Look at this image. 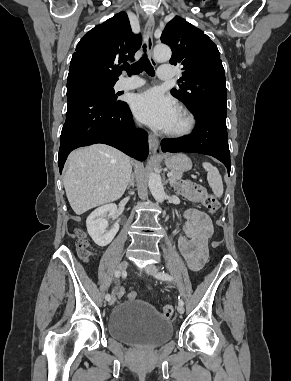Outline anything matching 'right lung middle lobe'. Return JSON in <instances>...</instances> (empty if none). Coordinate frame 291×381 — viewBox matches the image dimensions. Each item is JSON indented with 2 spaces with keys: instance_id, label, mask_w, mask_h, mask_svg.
<instances>
[{
  "instance_id": "right-lung-middle-lobe-1",
  "label": "right lung middle lobe",
  "mask_w": 291,
  "mask_h": 381,
  "mask_svg": "<svg viewBox=\"0 0 291 381\" xmlns=\"http://www.w3.org/2000/svg\"><path fill=\"white\" fill-rule=\"evenodd\" d=\"M82 79L91 81L102 92V94L106 98H108L110 101L114 103L118 102L117 96L115 95V92L113 89V86L115 83H103V82H98V81H94V80H90L86 78H82Z\"/></svg>"
}]
</instances>
